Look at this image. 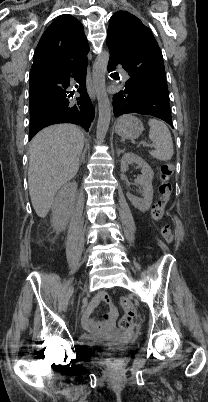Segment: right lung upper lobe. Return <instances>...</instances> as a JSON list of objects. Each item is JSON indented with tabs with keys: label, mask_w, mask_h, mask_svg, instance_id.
<instances>
[{
	"label": "right lung upper lobe",
	"mask_w": 208,
	"mask_h": 402,
	"mask_svg": "<svg viewBox=\"0 0 208 402\" xmlns=\"http://www.w3.org/2000/svg\"><path fill=\"white\" fill-rule=\"evenodd\" d=\"M88 50L81 22L71 15H60L43 33L34 53L30 73L66 70Z\"/></svg>",
	"instance_id": "obj_1"
}]
</instances>
